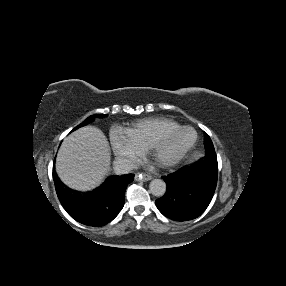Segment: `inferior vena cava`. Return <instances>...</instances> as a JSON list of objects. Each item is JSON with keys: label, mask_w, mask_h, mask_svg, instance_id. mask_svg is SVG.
I'll use <instances>...</instances> for the list:
<instances>
[{"label": "inferior vena cava", "mask_w": 286, "mask_h": 286, "mask_svg": "<svg viewBox=\"0 0 286 286\" xmlns=\"http://www.w3.org/2000/svg\"><path fill=\"white\" fill-rule=\"evenodd\" d=\"M136 165L133 161L125 158H116L114 161V171L117 174H127L135 169Z\"/></svg>", "instance_id": "inferior-vena-cava-1"}]
</instances>
